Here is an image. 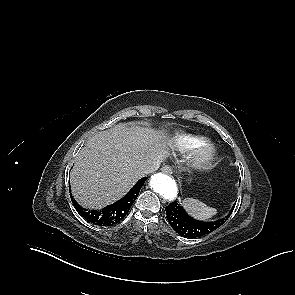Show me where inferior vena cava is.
I'll return each instance as SVG.
<instances>
[{
  "label": "inferior vena cava",
  "instance_id": "602c4592",
  "mask_svg": "<svg viewBox=\"0 0 295 295\" xmlns=\"http://www.w3.org/2000/svg\"><path fill=\"white\" fill-rule=\"evenodd\" d=\"M159 167V164H154V165H151L149 167H146L144 169L141 170V175H146V174H149V173H153L155 170H157V168Z\"/></svg>",
  "mask_w": 295,
  "mask_h": 295
}]
</instances>
